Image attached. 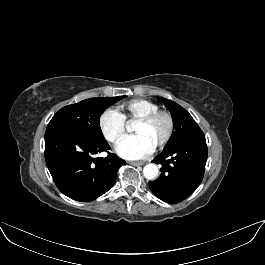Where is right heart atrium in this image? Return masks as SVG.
Wrapping results in <instances>:
<instances>
[{
  "label": "right heart atrium",
  "mask_w": 265,
  "mask_h": 265,
  "mask_svg": "<svg viewBox=\"0 0 265 265\" xmlns=\"http://www.w3.org/2000/svg\"><path fill=\"white\" fill-rule=\"evenodd\" d=\"M98 126L104 138L116 144L125 133V121L114 109H105L98 117Z\"/></svg>",
  "instance_id": "right-heart-atrium-1"
}]
</instances>
